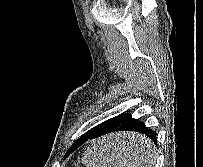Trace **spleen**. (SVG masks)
Masks as SVG:
<instances>
[{
	"mask_svg": "<svg viewBox=\"0 0 203 167\" xmlns=\"http://www.w3.org/2000/svg\"><path fill=\"white\" fill-rule=\"evenodd\" d=\"M114 139L109 136L106 139L93 142L82 158L83 164L86 167H136L133 165L134 163L121 158V153L118 150L109 148L110 146L106 142L109 141L110 143ZM129 141L136 144V146H141V150L135 155V162L143 163L139 167H152L155 162V150L152 143L141 135L132 136ZM143 145L147 147L146 151L142 149Z\"/></svg>",
	"mask_w": 203,
	"mask_h": 167,
	"instance_id": "spleen-1",
	"label": "spleen"
}]
</instances>
